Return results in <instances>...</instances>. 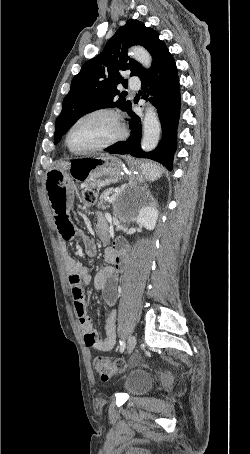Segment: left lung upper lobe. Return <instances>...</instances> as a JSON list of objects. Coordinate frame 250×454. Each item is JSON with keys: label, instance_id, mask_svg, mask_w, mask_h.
<instances>
[{"label": "left lung upper lobe", "instance_id": "5c2ea615", "mask_svg": "<svg viewBox=\"0 0 250 454\" xmlns=\"http://www.w3.org/2000/svg\"><path fill=\"white\" fill-rule=\"evenodd\" d=\"M132 45L144 46L151 54L153 60L148 71L127 56L126 52ZM168 53L156 31L138 20H128L107 42L103 52L87 61L73 78L70 91L63 100L61 114L56 119L54 144L87 113L109 107L128 111L131 102L117 89V85L125 81L121 77L122 72L130 70V76L136 75L141 79Z\"/></svg>", "mask_w": 250, "mask_h": 454}]
</instances>
